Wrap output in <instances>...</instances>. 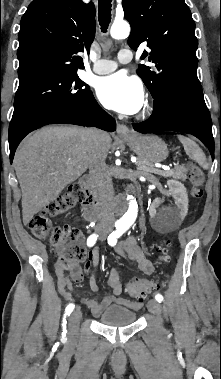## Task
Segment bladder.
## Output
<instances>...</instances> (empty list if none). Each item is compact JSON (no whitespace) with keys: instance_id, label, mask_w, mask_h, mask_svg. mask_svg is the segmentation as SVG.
Segmentation results:
<instances>
[{"instance_id":"1","label":"bladder","mask_w":221,"mask_h":379,"mask_svg":"<svg viewBox=\"0 0 221 379\" xmlns=\"http://www.w3.org/2000/svg\"><path fill=\"white\" fill-rule=\"evenodd\" d=\"M136 318L137 315L133 310L119 305H112L100 314L98 320L103 325L118 327L131 325Z\"/></svg>"}]
</instances>
